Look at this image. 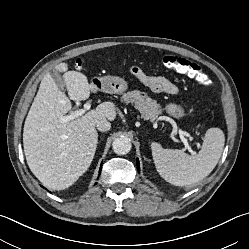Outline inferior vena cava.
Returning a JSON list of instances; mask_svg holds the SVG:
<instances>
[{"mask_svg":"<svg viewBox=\"0 0 249 249\" xmlns=\"http://www.w3.org/2000/svg\"><path fill=\"white\" fill-rule=\"evenodd\" d=\"M96 127L99 131L105 132V131L110 130L111 123L109 121H107V119H101V120L97 121Z\"/></svg>","mask_w":249,"mask_h":249,"instance_id":"1","label":"inferior vena cava"}]
</instances>
